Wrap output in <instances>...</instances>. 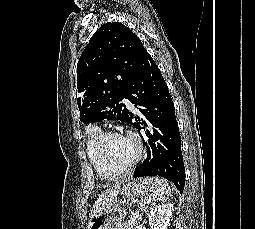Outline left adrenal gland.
Here are the masks:
<instances>
[{
    "label": "left adrenal gland",
    "instance_id": "left-adrenal-gland-1",
    "mask_svg": "<svg viewBox=\"0 0 255 229\" xmlns=\"http://www.w3.org/2000/svg\"><path fill=\"white\" fill-rule=\"evenodd\" d=\"M149 203H150V201L147 200L146 198L141 200V202H140V210L142 212H145L148 209Z\"/></svg>",
    "mask_w": 255,
    "mask_h": 229
}]
</instances>
